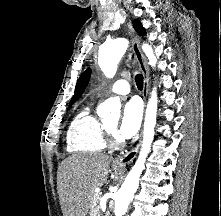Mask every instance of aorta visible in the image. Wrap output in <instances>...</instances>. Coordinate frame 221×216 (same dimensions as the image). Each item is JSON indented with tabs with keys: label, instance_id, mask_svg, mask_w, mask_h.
Listing matches in <instances>:
<instances>
[{
	"label": "aorta",
	"instance_id": "obj_1",
	"mask_svg": "<svg viewBox=\"0 0 221 216\" xmlns=\"http://www.w3.org/2000/svg\"><path fill=\"white\" fill-rule=\"evenodd\" d=\"M128 45L129 41L125 38L110 40L101 45L99 48L98 64L106 77L112 78L116 74L118 63L125 54ZM142 49L148 57L149 64L154 67L156 65L157 58L153 53L152 47L148 44H143ZM157 103V92L156 88H154L146 108L143 143L139 157L127 175L121 188L115 194V216L125 215L128 205L138 189L140 176L144 169V164L154 139ZM120 107L121 105L118 100L110 98L99 105L97 114L101 118H106L111 115H118L120 113Z\"/></svg>",
	"mask_w": 221,
	"mask_h": 216
}]
</instances>
